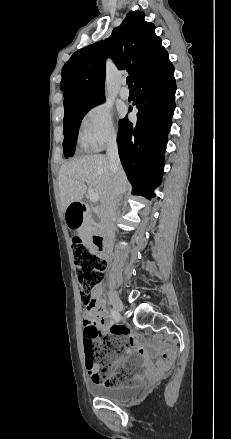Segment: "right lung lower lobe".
I'll return each mask as SVG.
<instances>
[{
    "label": "right lung lower lobe",
    "instance_id": "right-lung-lower-lobe-1",
    "mask_svg": "<svg viewBox=\"0 0 231 439\" xmlns=\"http://www.w3.org/2000/svg\"><path fill=\"white\" fill-rule=\"evenodd\" d=\"M134 86L137 123H130L127 116L119 121L118 151L133 194L150 200L162 179L167 135L175 109L174 67L168 56L139 77Z\"/></svg>",
    "mask_w": 231,
    "mask_h": 439
}]
</instances>
